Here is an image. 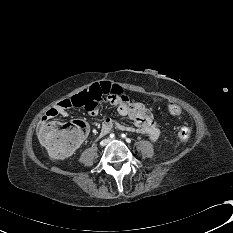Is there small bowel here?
Wrapping results in <instances>:
<instances>
[{
    "instance_id": "c3829d8e",
    "label": "small bowel",
    "mask_w": 233,
    "mask_h": 233,
    "mask_svg": "<svg viewBox=\"0 0 233 233\" xmlns=\"http://www.w3.org/2000/svg\"><path fill=\"white\" fill-rule=\"evenodd\" d=\"M115 99L116 97L112 93L102 97L100 101L96 102L92 107V112L97 114L103 107L105 108L109 105V103H112L117 106L119 115L129 117L133 120L134 126H128L114 119L106 118L101 124V131L103 133H108L113 128H117L119 130L141 133L147 136L151 141H156L159 138L160 130L154 123L152 113L145 105L131 100L129 96L123 92L122 88L121 97L117 101H115ZM71 107L73 106L70 103V99H65L60 101L56 106L50 108L42 117L40 129H42L47 122L54 117L67 116L68 110Z\"/></svg>"
}]
</instances>
